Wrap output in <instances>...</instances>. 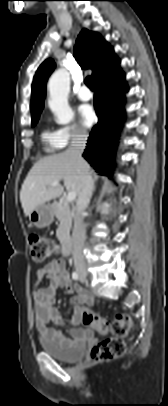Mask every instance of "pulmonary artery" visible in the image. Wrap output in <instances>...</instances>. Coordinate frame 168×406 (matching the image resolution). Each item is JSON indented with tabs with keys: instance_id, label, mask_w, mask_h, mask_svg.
<instances>
[{
	"instance_id": "1",
	"label": "pulmonary artery",
	"mask_w": 168,
	"mask_h": 406,
	"mask_svg": "<svg viewBox=\"0 0 168 406\" xmlns=\"http://www.w3.org/2000/svg\"><path fill=\"white\" fill-rule=\"evenodd\" d=\"M77 97L81 101H89L92 98V93L86 86H82L77 91Z\"/></svg>"
}]
</instances>
